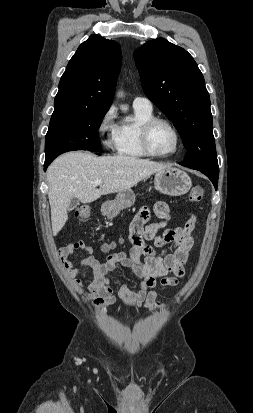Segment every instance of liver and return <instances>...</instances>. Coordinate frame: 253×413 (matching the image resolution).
Masks as SVG:
<instances>
[{
  "instance_id": "6515ba94",
  "label": "liver",
  "mask_w": 253,
  "mask_h": 413,
  "mask_svg": "<svg viewBox=\"0 0 253 413\" xmlns=\"http://www.w3.org/2000/svg\"><path fill=\"white\" fill-rule=\"evenodd\" d=\"M168 167L171 166L124 155L96 157L81 151L62 154L47 169L53 235L56 236L68 220L72 198L90 203L101 195L129 190ZM96 180L102 181L99 189L94 184Z\"/></svg>"
}]
</instances>
